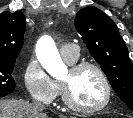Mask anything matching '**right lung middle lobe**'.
<instances>
[{
	"instance_id": "right-lung-middle-lobe-1",
	"label": "right lung middle lobe",
	"mask_w": 133,
	"mask_h": 118,
	"mask_svg": "<svg viewBox=\"0 0 133 118\" xmlns=\"http://www.w3.org/2000/svg\"><path fill=\"white\" fill-rule=\"evenodd\" d=\"M16 59L0 58V97L11 93L16 86L12 72Z\"/></svg>"
}]
</instances>
